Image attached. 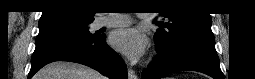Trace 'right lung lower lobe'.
I'll return each mask as SVG.
<instances>
[{"label":"right lung lower lobe","mask_w":255,"mask_h":79,"mask_svg":"<svg viewBox=\"0 0 255 79\" xmlns=\"http://www.w3.org/2000/svg\"><path fill=\"white\" fill-rule=\"evenodd\" d=\"M71 61L87 65L111 79H127V68L120 56L106 44L105 34L92 39L52 36L36 40L28 79L44 65Z\"/></svg>","instance_id":"98d812e1"}]
</instances>
